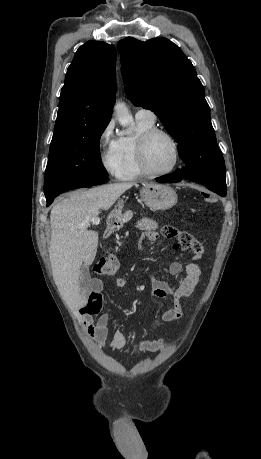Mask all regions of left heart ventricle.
Returning <instances> with one entry per match:
<instances>
[{
    "label": "left heart ventricle",
    "instance_id": "b2bd125f",
    "mask_svg": "<svg viewBox=\"0 0 261 459\" xmlns=\"http://www.w3.org/2000/svg\"><path fill=\"white\" fill-rule=\"evenodd\" d=\"M148 165L155 172L169 169L174 161V149L171 141L164 135L155 136L148 145Z\"/></svg>",
    "mask_w": 261,
    "mask_h": 459
}]
</instances>
